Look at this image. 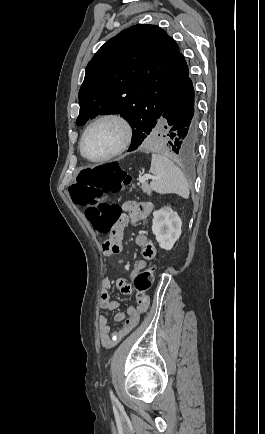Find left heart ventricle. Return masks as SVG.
<instances>
[{
	"label": "left heart ventricle",
	"mask_w": 265,
	"mask_h": 434,
	"mask_svg": "<svg viewBox=\"0 0 265 434\" xmlns=\"http://www.w3.org/2000/svg\"><path fill=\"white\" fill-rule=\"evenodd\" d=\"M121 140V126L113 121H104L88 132L83 143V152L91 159L103 158L113 152Z\"/></svg>",
	"instance_id": "b2bd125f"
}]
</instances>
